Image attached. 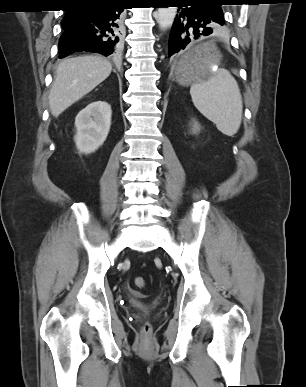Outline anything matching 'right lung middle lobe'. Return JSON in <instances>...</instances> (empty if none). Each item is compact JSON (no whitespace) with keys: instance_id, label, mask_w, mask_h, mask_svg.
I'll return each instance as SVG.
<instances>
[{"instance_id":"obj_1","label":"right lung middle lobe","mask_w":306,"mask_h":387,"mask_svg":"<svg viewBox=\"0 0 306 387\" xmlns=\"http://www.w3.org/2000/svg\"><path fill=\"white\" fill-rule=\"evenodd\" d=\"M74 22H75L74 18H64V20L62 21V27L70 26L74 24Z\"/></svg>"}]
</instances>
